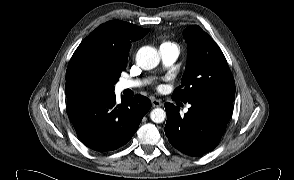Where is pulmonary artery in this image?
Returning <instances> with one entry per match:
<instances>
[{"label": "pulmonary artery", "mask_w": 294, "mask_h": 180, "mask_svg": "<svg viewBox=\"0 0 294 180\" xmlns=\"http://www.w3.org/2000/svg\"><path fill=\"white\" fill-rule=\"evenodd\" d=\"M162 62L166 66L172 65L179 56V50L175 45H169V46H162L159 49ZM141 85L140 81H134V80H124L120 82V89L121 90H127V89H133L136 87H139ZM188 110V107L185 108V111Z\"/></svg>", "instance_id": "pulmonary-artery-1"}]
</instances>
